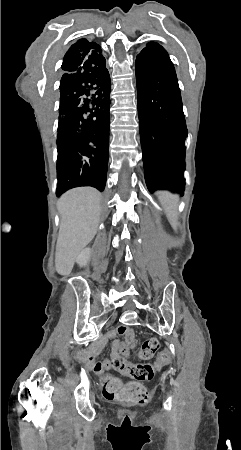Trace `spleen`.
I'll return each instance as SVG.
<instances>
[{"label": "spleen", "mask_w": 241, "mask_h": 450, "mask_svg": "<svg viewBox=\"0 0 241 450\" xmlns=\"http://www.w3.org/2000/svg\"><path fill=\"white\" fill-rule=\"evenodd\" d=\"M158 200L165 210V214L173 228L177 226V206L179 202L178 196L170 194V192H157Z\"/></svg>", "instance_id": "1"}]
</instances>
